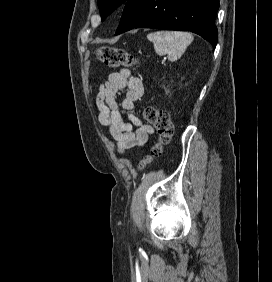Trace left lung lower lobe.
I'll use <instances>...</instances> for the list:
<instances>
[{
    "instance_id": "1",
    "label": "left lung lower lobe",
    "mask_w": 272,
    "mask_h": 282,
    "mask_svg": "<svg viewBox=\"0 0 272 282\" xmlns=\"http://www.w3.org/2000/svg\"><path fill=\"white\" fill-rule=\"evenodd\" d=\"M219 0H128L116 35L134 28L192 31L215 48Z\"/></svg>"
}]
</instances>
